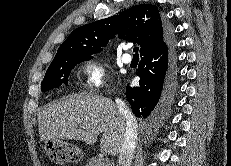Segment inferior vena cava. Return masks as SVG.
Returning <instances> with one entry per match:
<instances>
[{"mask_svg":"<svg viewBox=\"0 0 231 166\" xmlns=\"http://www.w3.org/2000/svg\"><path fill=\"white\" fill-rule=\"evenodd\" d=\"M115 101L118 111L126 121L124 140L119 151L117 166H131L138 140L137 123L130 108L121 99Z\"/></svg>","mask_w":231,"mask_h":166,"instance_id":"1","label":"inferior vena cava"}]
</instances>
